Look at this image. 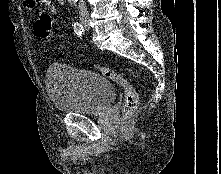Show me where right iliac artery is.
<instances>
[{"mask_svg": "<svg viewBox=\"0 0 221 174\" xmlns=\"http://www.w3.org/2000/svg\"><path fill=\"white\" fill-rule=\"evenodd\" d=\"M73 29L76 35L80 36L84 32L82 25L78 22H75L73 25Z\"/></svg>", "mask_w": 221, "mask_h": 174, "instance_id": "1", "label": "right iliac artery"}]
</instances>
